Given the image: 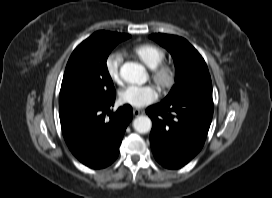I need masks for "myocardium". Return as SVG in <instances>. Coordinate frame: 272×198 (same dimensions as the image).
Here are the masks:
<instances>
[{
    "label": "myocardium",
    "instance_id": "myocardium-1",
    "mask_svg": "<svg viewBox=\"0 0 272 198\" xmlns=\"http://www.w3.org/2000/svg\"><path fill=\"white\" fill-rule=\"evenodd\" d=\"M151 78L160 91L166 92L175 83V68L171 64L161 62L151 69Z\"/></svg>",
    "mask_w": 272,
    "mask_h": 198
}]
</instances>
